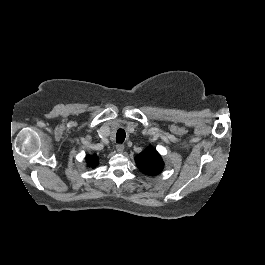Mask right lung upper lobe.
I'll use <instances>...</instances> for the list:
<instances>
[{
  "label": "right lung upper lobe",
  "instance_id": "1",
  "mask_svg": "<svg viewBox=\"0 0 265 265\" xmlns=\"http://www.w3.org/2000/svg\"><path fill=\"white\" fill-rule=\"evenodd\" d=\"M88 166L95 167L98 164V157L96 155H88L86 157Z\"/></svg>",
  "mask_w": 265,
  "mask_h": 265
}]
</instances>
